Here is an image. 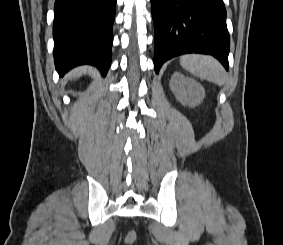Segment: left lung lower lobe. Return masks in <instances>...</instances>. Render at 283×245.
Here are the masks:
<instances>
[{
	"instance_id": "obj_1",
	"label": "left lung lower lobe",
	"mask_w": 283,
	"mask_h": 245,
	"mask_svg": "<svg viewBox=\"0 0 283 245\" xmlns=\"http://www.w3.org/2000/svg\"><path fill=\"white\" fill-rule=\"evenodd\" d=\"M154 68L185 53L210 54L228 70L230 38L223 0H151Z\"/></svg>"
}]
</instances>
